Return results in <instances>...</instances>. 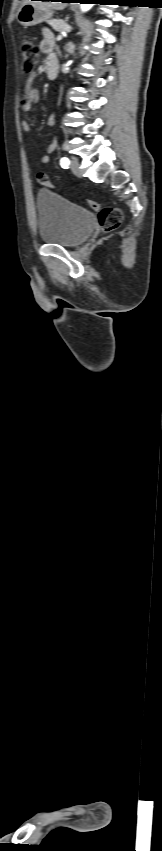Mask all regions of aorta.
I'll list each match as a JSON object with an SVG mask.
<instances>
[{"mask_svg":"<svg viewBox=\"0 0 162 851\" xmlns=\"http://www.w3.org/2000/svg\"><path fill=\"white\" fill-rule=\"evenodd\" d=\"M91 7H92V4H89V3L82 4V5H81V10H82L83 12H86V11H88Z\"/></svg>","mask_w":162,"mask_h":851,"instance_id":"aorta-1","label":"aorta"}]
</instances>
